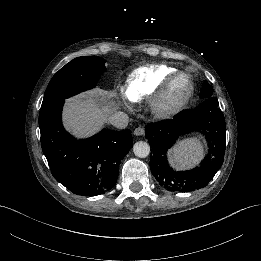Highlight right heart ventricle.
<instances>
[{
  "label": "right heart ventricle",
  "instance_id": "obj_1",
  "mask_svg": "<svg viewBox=\"0 0 261 261\" xmlns=\"http://www.w3.org/2000/svg\"><path fill=\"white\" fill-rule=\"evenodd\" d=\"M176 72L174 68L163 66L138 69L128 78L127 95L131 100L141 102Z\"/></svg>",
  "mask_w": 261,
  "mask_h": 261
}]
</instances>
